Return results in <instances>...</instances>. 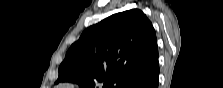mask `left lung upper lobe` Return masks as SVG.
I'll return each instance as SVG.
<instances>
[{"mask_svg":"<svg viewBox=\"0 0 223 88\" xmlns=\"http://www.w3.org/2000/svg\"><path fill=\"white\" fill-rule=\"evenodd\" d=\"M158 60L155 30L146 15L132 9L113 14L87 28L69 48L56 84L80 88H127Z\"/></svg>","mask_w":223,"mask_h":88,"instance_id":"obj_1","label":"left lung upper lobe"}]
</instances>
